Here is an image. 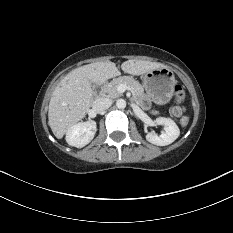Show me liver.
Instances as JSON below:
<instances>
[{
	"label": "liver",
	"mask_w": 233,
	"mask_h": 233,
	"mask_svg": "<svg viewBox=\"0 0 233 233\" xmlns=\"http://www.w3.org/2000/svg\"><path fill=\"white\" fill-rule=\"evenodd\" d=\"M160 68L168 67L143 60H128L121 65L125 73L137 76ZM118 75L120 71L114 62H96L74 69L60 81L52 93L48 110L49 126L56 138L61 139L85 117L92 102V83L102 85Z\"/></svg>",
	"instance_id": "1"
}]
</instances>
